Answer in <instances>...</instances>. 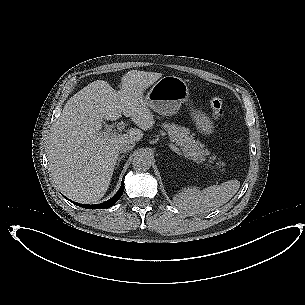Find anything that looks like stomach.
<instances>
[{
  "label": "stomach",
  "instance_id": "obj_1",
  "mask_svg": "<svg viewBox=\"0 0 305 305\" xmlns=\"http://www.w3.org/2000/svg\"><path fill=\"white\" fill-rule=\"evenodd\" d=\"M145 101L154 111L170 116L176 114L182 104L190 102V90L182 78L164 76L149 89ZM192 116L201 132L209 133L212 130V123L205 114L192 110Z\"/></svg>",
  "mask_w": 305,
  "mask_h": 305
}]
</instances>
